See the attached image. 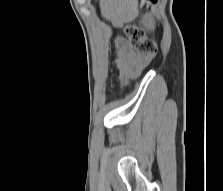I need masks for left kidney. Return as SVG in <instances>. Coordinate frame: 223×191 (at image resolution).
Segmentation results:
<instances>
[{
	"label": "left kidney",
	"mask_w": 223,
	"mask_h": 191,
	"mask_svg": "<svg viewBox=\"0 0 223 191\" xmlns=\"http://www.w3.org/2000/svg\"><path fill=\"white\" fill-rule=\"evenodd\" d=\"M144 24L148 29L151 30L154 28V19L148 15L145 17Z\"/></svg>",
	"instance_id": "left-kidney-1"
}]
</instances>
